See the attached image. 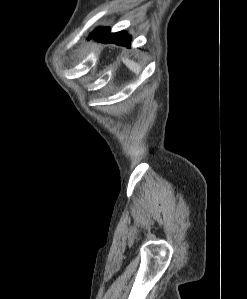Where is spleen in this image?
I'll return each instance as SVG.
<instances>
[{"label": "spleen", "instance_id": "spleen-1", "mask_svg": "<svg viewBox=\"0 0 247 299\" xmlns=\"http://www.w3.org/2000/svg\"><path fill=\"white\" fill-rule=\"evenodd\" d=\"M123 62L131 71H133L137 75L141 72L140 65L138 63L134 62L133 60L125 58V59H123Z\"/></svg>", "mask_w": 247, "mask_h": 299}]
</instances>
